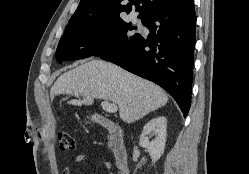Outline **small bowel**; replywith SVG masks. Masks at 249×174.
Returning <instances> with one entry per match:
<instances>
[{
  "mask_svg": "<svg viewBox=\"0 0 249 174\" xmlns=\"http://www.w3.org/2000/svg\"><path fill=\"white\" fill-rule=\"evenodd\" d=\"M85 155L84 154H79L75 157L74 159V164H79L81 162H83L85 160ZM94 161H96L97 163L102 164L109 172L111 170V164L104 158L101 157H95ZM62 174H71V166L70 165H66L63 169ZM110 174H112L110 172Z\"/></svg>",
  "mask_w": 249,
  "mask_h": 174,
  "instance_id": "small-bowel-1",
  "label": "small bowel"
}]
</instances>
